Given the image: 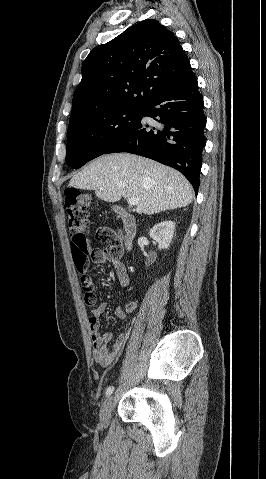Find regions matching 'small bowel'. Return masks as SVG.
<instances>
[{
  "instance_id": "obj_1",
  "label": "small bowel",
  "mask_w": 266,
  "mask_h": 479,
  "mask_svg": "<svg viewBox=\"0 0 266 479\" xmlns=\"http://www.w3.org/2000/svg\"><path fill=\"white\" fill-rule=\"evenodd\" d=\"M113 245H109L106 249L96 250L92 255V262L96 265H102L110 263L115 271L118 283L122 288H126L129 285L130 279L126 269V266L119 260L114 258L110 254V249ZM137 308L136 302L129 303L125 308L116 307L114 314L121 320H128L130 314H132ZM106 309L105 302H100L91 312L89 318V329L92 344V357L93 359L103 367H107L114 363L122 351L126 341L127 334L121 333L115 339L112 349L108 348L109 342L112 340V333L105 332L100 333V318L104 314Z\"/></svg>"
}]
</instances>
